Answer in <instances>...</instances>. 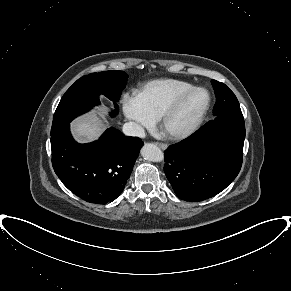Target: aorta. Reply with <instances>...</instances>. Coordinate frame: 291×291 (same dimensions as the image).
Instances as JSON below:
<instances>
[{"mask_svg":"<svg viewBox=\"0 0 291 291\" xmlns=\"http://www.w3.org/2000/svg\"><path fill=\"white\" fill-rule=\"evenodd\" d=\"M141 155L145 160L152 162H162L164 154L155 144L146 143L141 149Z\"/></svg>","mask_w":291,"mask_h":291,"instance_id":"762f6f07","label":"aorta"}]
</instances>
